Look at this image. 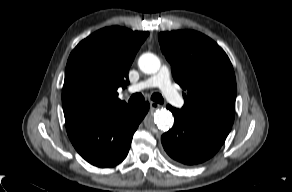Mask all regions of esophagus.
Segmentation results:
<instances>
[{
  "instance_id": "obj_1",
  "label": "esophagus",
  "mask_w": 292,
  "mask_h": 192,
  "mask_svg": "<svg viewBox=\"0 0 292 192\" xmlns=\"http://www.w3.org/2000/svg\"><path fill=\"white\" fill-rule=\"evenodd\" d=\"M161 105L156 103V102H153V101H150V108L152 110H156L157 108H159Z\"/></svg>"
}]
</instances>
